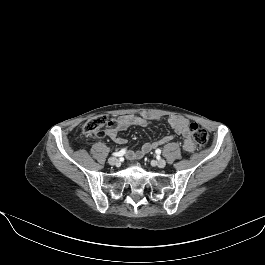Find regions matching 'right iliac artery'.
<instances>
[{
  "instance_id": "1",
  "label": "right iliac artery",
  "mask_w": 265,
  "mask_h": 265,
  "mask_svg": "<svg viewBox=\"0 0 265 265\" xmlns=\"http://www.w3.org/2000/svg\"><path fill=\"white\" fill-rule=\"evenodd\" d=\"M124 152H125V149H122V150L119 151V152H114L113 155H114V156H122V155L124 154Z\"/></svg>"
}]
</instances>
